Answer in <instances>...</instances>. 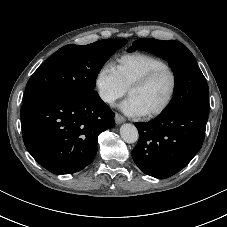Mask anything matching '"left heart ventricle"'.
<instances>
[{"label":"left heart ventricle","instance_id":"obj_1","mask_svg":"<svg viewBox=\"0 0 227 227\" xmlns=\"http://www.w3.org/2000/svg\"><path fill=\"white\" fill-rule=\"evenodd\" d=\"M171 88L170 74L162 72L146 86L132 90L129 96L135 99L145 114L159 108L168 98Z\"/></svg>","mask_w":227,"mask_h":227}]
</instances>
